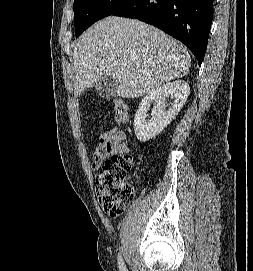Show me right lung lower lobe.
Returning a JSON list of instances; mask_svg holds the SVG:
<instances>
[{"instance_id":"1","label":"right lung lower lobe","mask_w":253,"mask_h":271,"mask_svg":"<svg viewBox=\"0 0 253 271\" xmlns=\"http://www.w3.org/2000/svg\"><path fill=\"white\" fill-rule=\"evenodd\" d=\"M112 15L156 26L185 44L201 65L213 19V0H128Z\"/></svg>"}]
</instances>
